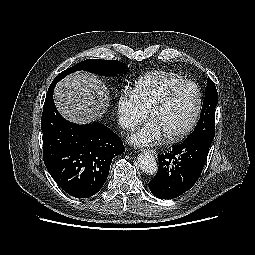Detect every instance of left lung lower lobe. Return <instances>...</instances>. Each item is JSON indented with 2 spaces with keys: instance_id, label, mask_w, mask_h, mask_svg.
<instances>
[{
  "instance_id": "1",
  "label": "left lung lower lobe",
  "mask_w": 255,
  "mask_h": 255,
  "mask_svg": "<svg viewBox=\"0 0 255 255\" xmlns=\"http://www.w3.org/2000/svg\"><path fill=\"white\" fill-rule=\"evenodd\" d=\"M215 131L188 136L171 152L158 156L159 170L149 182L152 194L173 199L189 190L198 180L209 153Z\"/></svg>"
}]
</instances>
